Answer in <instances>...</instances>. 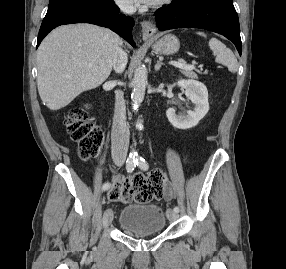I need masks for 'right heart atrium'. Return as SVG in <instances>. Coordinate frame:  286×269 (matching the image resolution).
I'll list each match as a JSON object with an SVG mask.
<instances>
[{"mask_svg":"<svg viewBox=\"0 0 286 269\" xmlns=\"http://www.w3.org/2000/svg\"><path fill=\"white\" fill-rule=\"evenodd\" d=\"M115 3L119 7V9H121L124 12L129 13L132 12L133 10L132 5H130L127 0H115Z\"/></svg>","mask_w":286,"mask_h":269,"instance_id":"d8ad5b80","label":"right heart atrium"}]
</instances>
